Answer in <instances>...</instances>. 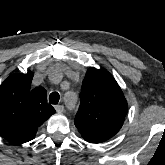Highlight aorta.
Wrapping results in <instances>:
<instances>
[{
    "label": "aorta",
    "mask_w": 165,
    "mask_h": 165,
    "mask_svg": "<svg viewBox=\"0 0 165 165\" xmlns=\"http://www.w3.org/2000/svg\"><path fill=\"white\" fill-rule=\"evenodd\" d=\"M53 75H58V76H61L62 74H61V72H60V71L55 70V71H54V73H53ZM72 97L76 98V96H75V95H73V94H72Z\"/></svg>",
    "instance_id": "aorta-1"
}]
</instances>
